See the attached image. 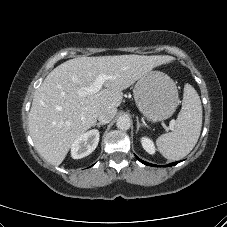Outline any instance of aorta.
I'll return each mask as SVG.
<instances>
[{
  "mask_svg": "<svg viewBox=\"0 0 227 227\" xmlns=\"http://www.w3.org/2000/svg\"><path fill=\"white\" fill-rule=\"evenodd\" d=\"M116 126L120 130H128L131 126V120L128 116H120L116 121Z\"/></svg>",
  "mask_w": 227,
  "mask_h": 227,
  "instance_id": "1",
  "label": "aorta"
}]
</instances>
